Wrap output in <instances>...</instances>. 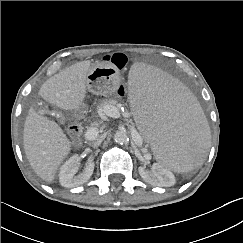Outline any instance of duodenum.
Masks as SVG:
<instances>
[{"mask_svg":"<svg viewBox=\"0 0 243 243\" xmlns=\"http://www.w3.org/2000/svg\"><path fill=\"white\" fill-rule=\"evenodd\" d=\"M69 132L73 134L74 136H78L80 133V125L77 122H73L69 126Z\"/></svg>","mask_w":243,"mask_h":243,"instance_id":"obj_1","label":"duodenum"}]
</instances>
